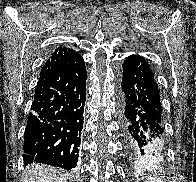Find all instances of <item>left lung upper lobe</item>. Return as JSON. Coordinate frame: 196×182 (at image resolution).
<instances>
[{
	"instance_id": "5c2ea615",
	"label": "left lung upper lobe",
	"mask_w": 196,
	"mask_h": 182,
	"mask_svg": "<svg viewBox=\"0 0 196 182\" xmlns=\"http://www.w3.org/2000/svg\"><path fill=\"white\" fill-rule=\"evenodd\" d=\"M134 56H135V58H137V59L144 60V58H143V57L136 56V55H134ZM144 61H145V60H144Z\"/></svg>"
}]
</instances>
